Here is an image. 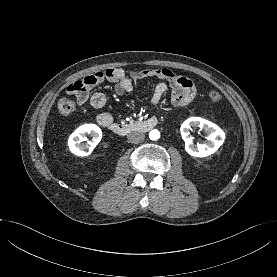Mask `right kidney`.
Wrapping results in <instances>:
<instances>
[{
  "label": "right kidney",
  "instance_id": "1",
  "mask_svg": "<svg viewBox=\"0 0 277 277\" xmlns=\"http://www.w3.org/2000/svg\"><path fill=\"white\" fill-rule=\"evenodd\" d=\"M86 134H91L92 142L88 141V144L82 143L86 141ZM102 138L101 129L95 124H84L78 127L68 139V147L70 151L77 156H88L94 147L100 142Z\"/></svg>",
  "mask_w": 277,
  "mask_h": 277
}]
</instances>
